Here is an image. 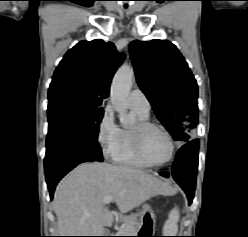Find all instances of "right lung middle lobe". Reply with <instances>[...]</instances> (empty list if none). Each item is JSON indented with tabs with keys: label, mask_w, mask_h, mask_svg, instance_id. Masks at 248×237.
I'll list each match as a JSON object with an SVG mask.
<instances>
[{
	"label": "right lung middle lobe",
	"mask_w": 248,
	"mask_h": 237,
	"mask_svg": "<svg viewBox=\"0 0 248 237\" xmlns=\"http://www.w3.org/2000/svg\"><path fill=\"white\" fill-rule=\"evenodd\" d=\"M48 135L64 134L97 140L104 110L101 105L76 99H58L48 104Z\"/></svg>",
	"instance_id": "1"
}]
</instances>
